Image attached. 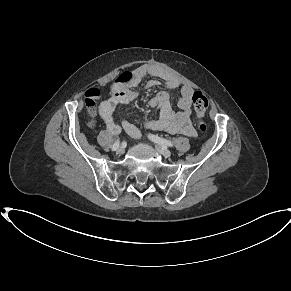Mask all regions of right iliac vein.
I'll list each match as a JSON object with an SVG mask.
<instances>
[{
  "instance_id": "63e3f726",
  "label": "right iliac vein",
  "mask_w": 291,
  "mask_h": 291,
  "mask_svg": "<svg viewBox=\"0 0 291 291\" xmlns=\"http://www.w3.org/2000/svg\"><path fill=\"white\" fill-rule=\"evenodd\" d=\"M118 154H123L124 153V148L122 146H120L117 150Z\"/></svg>"
}]
</instances>
